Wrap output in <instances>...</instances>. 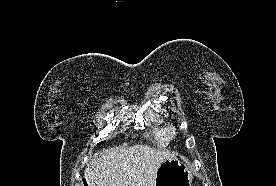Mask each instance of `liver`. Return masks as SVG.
Masks as SVG:
<instances>
[{
  "instance_id": "6515ba94",
  "label": "liver",
  "mask_w": 276,
  "mask_h": 186,
  "mask_svg": "<svg viewBox=\"0 0 276 186\" xmlns=\"http://www.w3.org/2000/svg\"><path fill=\"white\" fill-rule=\"evenodd\" d=\"M174 157L147 145L116 148L92 160L84 177L88 186H154L159 166Z\"/></svg>"
}]
</instances>
